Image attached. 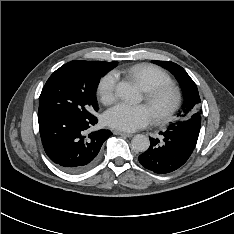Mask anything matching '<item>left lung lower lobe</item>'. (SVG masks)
<instances>
[{"label": "left lung lower lobe", "mask_w": 234, "mask_h": 234, "mask_svg": "<svg viewBox=\"0 0 234 234\" xmlns=\"http://www.w3.org/2000/svg\"><path fill=\"white\" fill-rule=\"evenodd\" d=\"M163 140L150 139L149 149L139 156V162L155 173H169L181 167L192 154L197 139L182 129L161 132Z\"/></svg>", "instance_id": "obj_1"}]
</instances>
